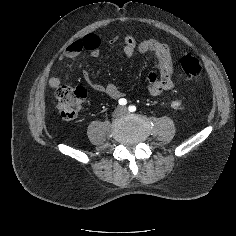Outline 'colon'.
<instances>
[{"label": "colon", "instance_id": "5ec220e1", "mask_svg": "<svg viewBox=\"0 0 236 236\" xmlns=\"http://www.w3.org/2000/svg\"><path fill=\"white\" fill-rule=\"evenodd\" d=\"M182 76L195 79L201 75L202 66L199 60L191 55L182 57L180 61ZM86 92L82 88L61 85L57 89V110L64 120H73L79 113Z\"/></svg>", "mask_w": 236, "mask_h": 236}]
</instances>
